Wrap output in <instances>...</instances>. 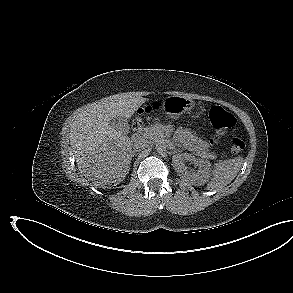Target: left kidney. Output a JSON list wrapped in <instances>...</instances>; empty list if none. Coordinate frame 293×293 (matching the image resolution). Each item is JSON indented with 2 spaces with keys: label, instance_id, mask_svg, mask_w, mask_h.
<instances>
[{
  "label": "left kidney",
  "instance_id": "obj_1",
  "mask_svg": "<svg viewBox=\"0 0 293 293\" xmlns=\"http://www.w3.org/2000/svg\"><path fill=\"white\" fill-rule=\"evenodd\" d=\"M186 161H192L194 164H196V166H198L197 172L188 171L184 164ZM172 163L178 175L193 185H202L209 177L211 169L210 162L204 159H196L190 153L174 155L172 158Z\"/></svg>",
  "mask_w": 293,
  "mask_h": 293
}]
</instances>
